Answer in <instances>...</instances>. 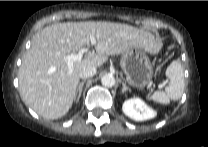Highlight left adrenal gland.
I'll use <instances>...</instances> for the list:
<instances>
[{"mask_svg":"<svg viewBox=\"0 0 208 147\" xmlns=\"http://www.w3.org/2000/svg\"><path fill=\"white\" fill-rule=\"evenodd\" d=\"M122 93H125L126 91H131V89L126 85L125 82H122Z\"/></svg>","mask_w":208,"mask_h":147,"instance_id":"obj_1","label":"left adrenal gland"}]
</instances>
